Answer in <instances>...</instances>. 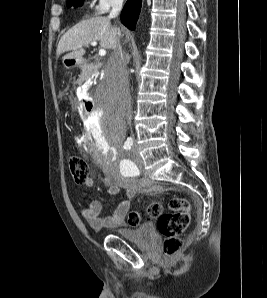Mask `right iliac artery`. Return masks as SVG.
Masks as SVG:
<instances>
[{
	"label": "right iliac artery",
	"mask_w": 267,
	"mask_h": 298,
	"mask_svg": "<svg viewBox=\"0 0 267 298\" xmlns=\"http://www.w3.org/2000/svg\"><path fill=\"white\" fill-rule=\"evenodd\" d=\"M132 145H133V139L129 137V138H127V140L124 143V149L130 150Z\"/></svg>",
	"instance_id": "82829eb1"
}]
</instances>
